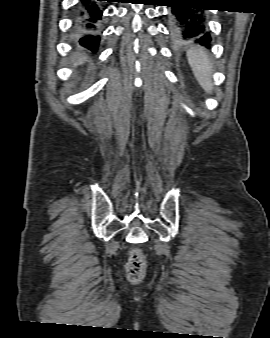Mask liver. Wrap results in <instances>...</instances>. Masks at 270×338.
I'll return each instance as SVG.
<instances>
[{
  "label": "liver",
  "mask_w": 270,
  "mask_h": 338,
  "mask_svg": "<svg viewBox=\"0 0 270 338\" xmlns=\"http://www.w3.org/2000/svg\"><path fill=\"white\" fill-rule=\"evenodd\" d=\"M86 60V57L84 55L78 54L77 55V61H74V65H81Z\"/></svg>",
  "instance_id": "obj_1"
}]
</instances>
